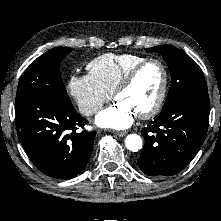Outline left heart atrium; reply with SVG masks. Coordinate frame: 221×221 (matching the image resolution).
Wrapping results in <instances>:
<instances>
[{"label":"left heart atrium","instance_id":"obj_1","mask_svg":"<svg viewBox=\"0 0 221 221\" xmlns=\"http://www.w3.org/2000/svg\"><path fill=\"white\" fill-rule=\"evenodd\" d=\"M136 113L124 102L116 101L112 106L101 111L95 122L100 127L125 129L131 126Z\"/></svg>","mask_w":221,"mask_h":221}]
</instances>
